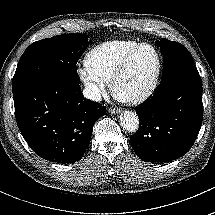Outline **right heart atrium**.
Wrapping results in <instances>:
<instances>
[{"instance_id": "d8ad5b80", "label": "right heart atrium", "mask_w": 215, "mask_h": 215, "mask_svg": "<svg viewBox=\"0 0 215 215\" xmlns=\"http://www.w3.org/2000/svg\"><path fill=\"white\" fill-rule=\"evenodd\" d=\"M78 77L92 101L98 102L103 98L106 93L105 83L91 77L84 70H78Z\"/></svg>"}]
</instances>
